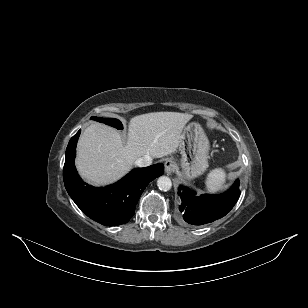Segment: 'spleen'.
<instances>
[{
    "mask_svg": "<svg viewBox=\"0 0 308 308\" xmlns=\"http://www.w3.org/2000/svg\"><path fill=\"white\" fill-rule=\"evenodd\" d=\"M227 174L224 168L213 169L206 177L205 188L209 193H216L224 188Z\"/></svg>",
    "mask_w": 308,
    "mask_h": 308,
    "instance_id": "spleen-1",
    "label": "spleen"
}]
</instances>
